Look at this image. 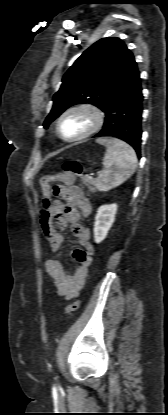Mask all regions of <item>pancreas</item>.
Masks as SVG:
<instances>
[{"mask_svg": "<svg viewBox=\"0 0 168 415\" xmlns=\"http://www.w3.org/2000/svg\"><path fill=\"white\" fill-rule=\"evenodd\" d=\"M85 182L91 185H95L96 181L94 179H90L88 177L85 178Z\"/></svg>", "mask_w": 168, "mask_h": 415, "instance_id": "cf45deb5", "label": "pancreas"}]
</instances>
